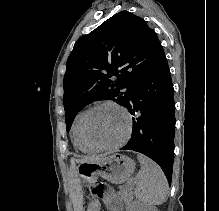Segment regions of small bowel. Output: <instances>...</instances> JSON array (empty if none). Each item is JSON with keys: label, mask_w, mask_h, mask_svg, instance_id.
I'll return each instance as SVG.
<instances>
[{"label": "small bowel", "mask_w": 219, "mask_h": 211, "mask_svg": "<svg viewBox=\"0 0 219 211\" xmlns=\"http://www.w3.org/2000/svg\"><path fill=\"white\" fill-rule=\"evenodd\" d=\"M100 197L108 211H122L121 201L112 189H105Z\"/></svg>", "instance_id": "1"}]
</instances>
